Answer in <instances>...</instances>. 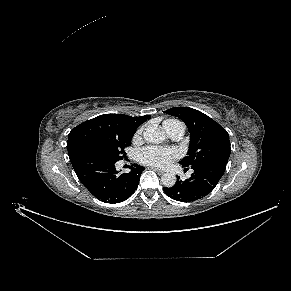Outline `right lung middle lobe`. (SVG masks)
I'll list each match as a JSON object with an SVG mask.
<instances>
[{
  "label": "right lung middle lobe",
  "mask_w": 291,
  "mask_h": 291,
  "mask_svg": "<svg viewBox=\"0 0 291 291\" xmlns=\"http://www.w3.org/2000/svg\"><path fill=\"white\" fill-rule=\"evenodd\" d=\"M131 144V137H114L100 142L90 148L89 153L104 155L113 160L119 161L125 157L124 148Z\"/></svg>",
  "instance_id": "1"
}]
</instances>
